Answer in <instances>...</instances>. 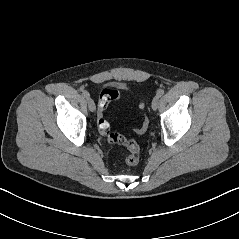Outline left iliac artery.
Returning <instances> with one entry per match:
<instances>
[{
  "label": "left iliac artery",
  "mask_w": 239,
  "mask_h": 239,
  "mask_svg": "<svg viewBox=\"0 0 239 239\" xmlns=\"http://www.w3.org/2000/svg\"><path fill=\"white\" fill-rule=\"evenodd\" d=\"M164 94V90L163 89H159L158 91H157V96H159V97H161L162 95Z\"/></svg>",
  "instance_id": "44dca946"
}]
</instances>
